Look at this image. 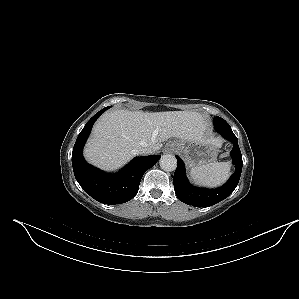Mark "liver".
I'll return each mask as SVG.
<instances>
[{"mask_svg": "<svg viewBox=\"0 0 299 299\" xmlns=\"http://www.w3.org/2000/svg\"><path fill=\"white\" fill-rule=\"evenodd\" d=\"M205 130V119L197 112L115 110L103 114L94 125L84 156L97 167L113 170L139 154L142 147L155 153L170 138L200 140Z\"/></svg>", "mask_w": 299, "mask_h": 299, "instance_id": "1", "label": "liver"}]
</instances>
